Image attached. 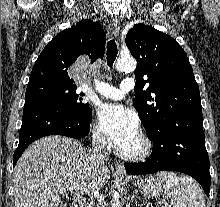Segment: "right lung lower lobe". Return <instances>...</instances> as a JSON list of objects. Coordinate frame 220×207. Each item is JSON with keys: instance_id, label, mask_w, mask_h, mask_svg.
Instances as JSON below:
<instances>
[{"instance_id": "right-lung-lower-lobe-1", "label": "right lung lower lobe", "mask_w": 220, "mask_h": 207, "mask_svg": "<svg viewBox=\"0 0 220 207\" xmlns=\"http://www.w3.org/2000/svg\"><path fill=\"white\" fill-rule=\"evenodd\" d=\"M91 115V110L86 114H76L43 99L25 101L20 140L13 156L14 166L23 151L41 137L85 138L89 134Z\"/></svg>"}]
</instances>
